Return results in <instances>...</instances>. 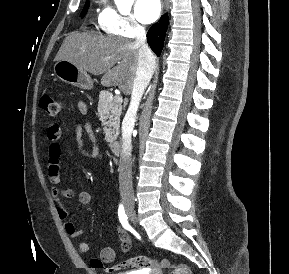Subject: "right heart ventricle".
<instances>
[{
	"label": "right heart ventricle",
	"mask_w": 289,
	"mask_h": 274,
	"mask_svg": "<svg viewBox=\"0 0 289 274\" xmlns=\"http://www.w3.org/2000/svg\"><path fill=\"white\" fill-rule=\"evenodd\" d=\"M103 12V11H102ZM102 12L99 14L98 16V21H100V18H101V15H102Z\"/></svg>",
	"instance_id": "obj_1"
}]
</instances>
